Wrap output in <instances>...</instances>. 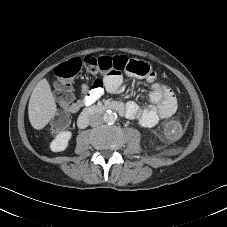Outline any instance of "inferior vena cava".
<instances>
[{"label": "inferior vena cava", "instance_id": "obj_1", "mask_svg": "<svg viewBox=\"0 0 227 227\" xmlns=\"http://www.w3.org/2000/svg\"><path fill=\"white\" fill-rule=\"evenodd\" d=\"M89 121H90V126L97 127V126L102 124L103 119H102L101 115L95 114V115L90 117Z\"/></svg>", "mask_w": 227, "mask_h": 227}]
</instances>
